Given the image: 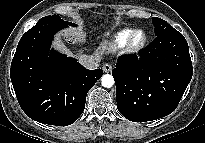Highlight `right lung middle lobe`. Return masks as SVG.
<instances>
[{"mask_svg": "<svg viewBox=\"0 0 205 143\" xmlns=\"http://www.w3.org/2000/svg\"><path fill=\"white\" fill-rule=\"evenodd\" d=\"M42 19H49V20H52V21H57V22L61 23L64 26H68V25L75 26L74 23H70V22L62 20L59 15L46 16V17H43Z\"/></svg>", "mask_w": 205, "mask_h": 143, "instance_id": "right-lung-middle-lobe-1", "label": "right lung middle lobe"}]
</instances>
